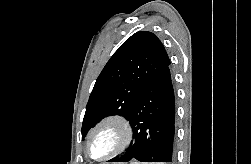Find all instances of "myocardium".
Masks as SVG:
<instances>
[{
    "label": "myocardium",
    "mask_w": 251,
    "mask_h": 164,
    "mask_svg": "<svg viewBox=\"0 0 251 164\" xmlns=\"http://www.w3.org/2000/svg\"><path fill=\"white\" fill-rule=\"evenodd\" d=\"M106 126L115 128L119 134V141L117 146L108 154L102 157H95L91 153V141L94 135ZM134 131L130 121L121 114H110L99 120L89 131L86 139V151L88 156L98 162L110 160L127 150L133 141Z\"/></svg>",
    "instance_id": "f54148a6"
}]
</instances>
